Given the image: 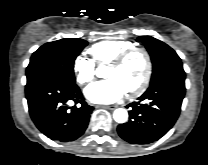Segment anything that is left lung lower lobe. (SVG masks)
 <instances>
[{"label": "left lung lower lobe", "mask_w": 208, "mask_h": 165, "mask_svg": "<svg viewBox=\"0 0 208 165\" xmlns=\"http://www.w3.org/2000/svg\"><path fill=\"white\" fill-rule=\"evenodd\" d=\"M185 73L168 74L150 84L130 107L129 121L117 128L131 144H148L160 139L175 124L185 95Z\"/></svg>", "instance_id": "obj_1"}]
</instances>
